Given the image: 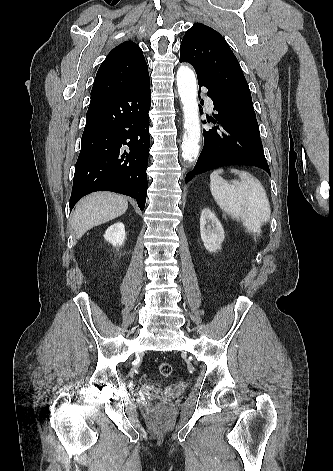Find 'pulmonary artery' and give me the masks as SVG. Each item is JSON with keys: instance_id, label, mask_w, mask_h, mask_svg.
Instances as JSON below:
<instances>
[{"instance_id": "obj_1", "label": "pulmonary artery", "mask_w": 333, "mask_h": 471, "mask_svg": "<svg viewBox=\"0 0 333 471\" xmlns=\"http://www.w3.org/2000/svg\"><path fill=\"white\" fill-rule=\"evenodd\" d=\"M206 104L209 108H212L213 107V102L211 101V99L207 98L206 99Z\"/></svg>"}]
</instances>
